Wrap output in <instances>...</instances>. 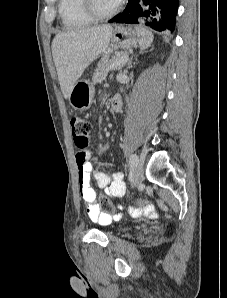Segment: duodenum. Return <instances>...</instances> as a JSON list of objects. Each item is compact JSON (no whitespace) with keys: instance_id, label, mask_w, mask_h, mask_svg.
Segmentation results:
<instances>
[{"instance_id":"410a0bca","label":"duodenum","mask_w":227,"mask_h":298,"mask_svg":"<svg viewBox=\"0 0 227 298\" xmlns=\"http://www.w3.org/2000/svg\"><path fill=\"white\" fill-rule=\"evenodd\" d=\"M111 107L114 111H119L122 107V100L120 96H114L111 100Z\"/></svg>"}]
</instances>
